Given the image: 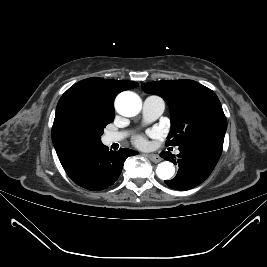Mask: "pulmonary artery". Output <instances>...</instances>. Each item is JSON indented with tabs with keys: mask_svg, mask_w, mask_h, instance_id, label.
I'll list each match as a JSON object with an SVG mask.
<instances>
[{
	"mask_svg": "<svg viewBox=\"0 0 267 267\" xmlns=\"http://www.w3.org/2000/svg\"><path fill=\"white\" fill-rule=\"evenodd\" d=\"M165 110V101L159 96H148L143 103V119L151 122L157 119ZM126 132H111L106 135L107 143H115L122 140Z\"/></svg>",
	"mask_w": 267,
	"mask_h": 267,
	"instance_id": "pulmonary-artery-1",
	"label": "pulmonary artery"
}]
</instances>
